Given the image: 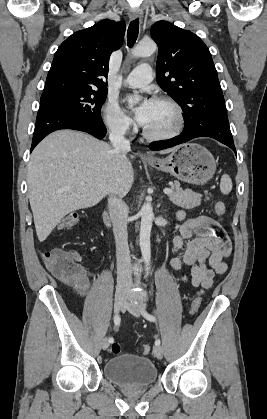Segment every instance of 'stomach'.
<instances>
[{"label": "stomach", "instance_id": "stomach-1", "mask_svg": "<svg viewBox=\"0 0 267 419\" xmlns=\"http://www.w3.org/2000/svg\"><path fill=\"white\" fill-rule=\"evenodd\" d=\"M147 162L157 170L195 185L207 183L216 170V162L211 152L197 143L177 146L166 158Z\"/></svg>", "mask_w": 267, "mask_h": 419}]
</instances>
